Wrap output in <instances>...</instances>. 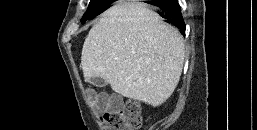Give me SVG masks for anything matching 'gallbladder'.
<instances>
[{"instance_id":"bac80fb5","label":"gallbladder","mask_w":257,"mask_h":130,"mask_svg":"<svg viewBox=\"0 0 257 130\" xmlns=\"http://www.w3.org/2000/svg\"><path fill=\"white\" fill-rule=\"evenodd\" d=\"M88 82H90L91 84H93L96 87H104L107 85V81L101 77H93V78H89Z\"/></svg>"}]
</instances>
